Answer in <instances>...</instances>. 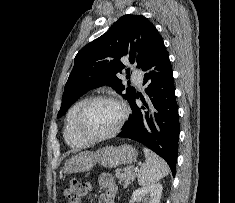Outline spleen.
<instances>
[{
  "instance_id": "spleen-1",
  "label": "spleen",
  "mask_w": 235,
  "mask_h": 203,
  "mask_svg": "<svg viewBox=\"0 0 235 203\" xmlns=\"http://www.w3.org/2000/svg\"><path fill=\"white\" fill-rule=\"evenodd\" d=\"M146 161L138 171V183L147 186L158 182L170 172L167 163L148 148L143 149Z\"/></svg>"
}]
</instances>
